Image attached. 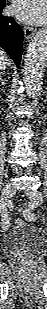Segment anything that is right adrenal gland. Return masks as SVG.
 Returning a JSON list of instances; mask_svg holds the SVG:
<instances>
[{
  "instance_id": "right-adrenal-gland-1",
  "label": "right adrenal gland",
  "mask_w": 47,
  "mask_h": 309,
  "mask_svg": "<svg viewBox=\"0 0 47 309\" xmlns=\"http://www.w3.org/2000/svg\"><path fill=\"white\" fill-rule=\"evenodd\" d=\"M4 72H0V83L1 85H5L6 83L4 82L5 80L3 79V76H4Z\"/></svg>"
}]
</instances>
